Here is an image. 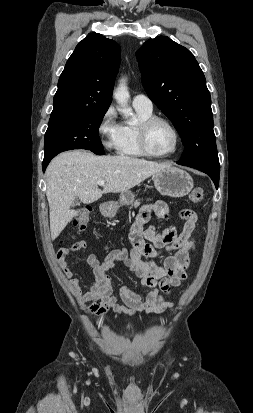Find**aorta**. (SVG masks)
<instances>
[{"label":"aorta","instance_id":"aorta-1","mask_svg":"<svg viewBox=\"0 0 253 413\" xmlns=\"http://www.w3.org/2000/svg\"><path fill=\"white\" fill-rule=\"evenodd\" d=\"M114 98L120 106L119 111L124 114L125 117L134 116L132 109L128 107L130 95L126 85V79L123 78L120 80V83L114 92Z\"/></svg>","mask_w":253,"mask_h":413}]
</instances>
